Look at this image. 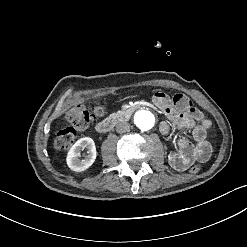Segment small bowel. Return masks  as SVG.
<instances>
[{
	"label": "small bowel",
	"mask_w": 247,
	"mask_h": 247,
	"mask_svg": "<svg viewBox=\"0 0 247 247\" xmlns=\"http://www.w3.org/2000/svg\"><path fill=\"white\" fill-rule=\"evenodd\" d=\"M152 100L169 118V121H163L160 124V131L163 135H170L174 127L180 130L187 129L191 132L194 141L192 143L185 138L174 141L178 149L169 152V164L177 171H184L195 161L206 162L211 154V146L206 140L207 130L211 126L210 121L196 108L187 110L176 108L163 93H156ZM187 148H191L190 153L186 152Z\"/></svg>",
	"instance_id": "obj_1"
}]
</instances>
